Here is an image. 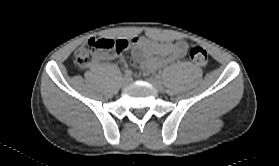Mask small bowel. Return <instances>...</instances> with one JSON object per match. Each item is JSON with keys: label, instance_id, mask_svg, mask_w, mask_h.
Masks as SVG:
<instances>
[{"label": "small bowel", "instance_id": "obj_1", "mask_svg": "<svg viewBox=\"0 0 279 166\" xmlns=\"http://www.w3.org/2000/svg\"><path fill=\"white\" fill-rule=\"evenodd\" d=\"M132 44V55L146 74L164 67L173 60L183 58L187 51V44L184 41L157 42L145 37H137L132 39Z\"/></svg>", "mask_w": 279, "mask_h": 166}]
</instances>
